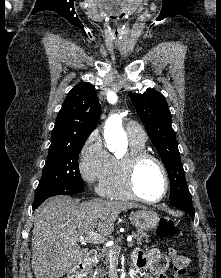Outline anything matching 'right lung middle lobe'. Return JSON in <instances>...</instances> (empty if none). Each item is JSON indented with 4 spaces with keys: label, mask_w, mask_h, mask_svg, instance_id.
I'll list each match as a JSON object with an SVG mask.
<instances>
[{
    "label": "right lung middle lobe",
    "mask_w": 221,
    "mask_h": 278,
    "mask_svg": "<svg viewBox=\"0 0 221 278\" xmlns=\"http://www.w3.org/2000/svg\"><path fill=\"white\" fill-rule=\"evenodd\" d=\"M85 141L86 139L72 144L49 147L42 178L36 189L35 201L44 199L60 188L84 189L78 157Z\"/></svg>",
    "instance_id": "right-lung-middle-lobe-1"
}]
</instances>
